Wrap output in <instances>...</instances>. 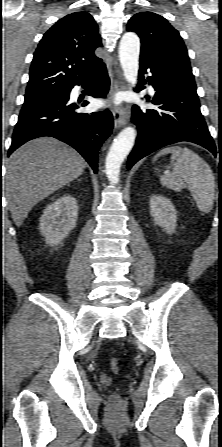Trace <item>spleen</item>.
<instances>
[{"mask_svg": "<svg viewBox=\"0 0 222 447\" xmlns=\"http://www.w3.org/2000/svg\"><path fill=\"white\" fill-rule=\"evenodd\" d=\"M171 153L172 172L160 176L163 186L174 191L188 188L201 212L208 213L214 204L215 178L210 166L195 152L178 146L162 149L155 157Z\"/></svg>", "mask_w": 222, "mask_h": 447, "instance_id": "obj_1", "label": "spleen"}]
</instances>
